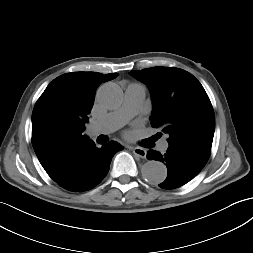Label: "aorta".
<instances>
[{
  "label": "aorta",
  "mask_w": 253,
  "mask_h": 253,
  "mask_svg": "<svg viewBox=\"0 0 253 253\" xmlns=\"http://www.w3.org/2000/svg\"><path fill=\"white\" fill-rule=\"evenodd\" d=\"M97 100L103 108L115 109L121 105L123 93L117 84L106 83L98 89ZM141 172L143 177L151 184H160L167 177L166 166L162 162L155 160L146 162Z\"/></svg>",
  "instance_id": "aorta-1"
}]
</instances>
